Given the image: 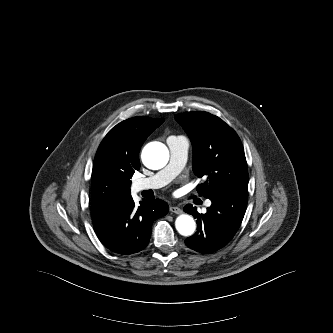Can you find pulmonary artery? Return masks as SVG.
I'll use <instances>...</instances> for the list:
<instances>
[{"label": "pulmonary artery", "instance_id": "e3ab8cb5", "mask_svg": "<svg viewBox=\"0 0 333 333\" xmlns=\"http://www.w3.org/2000/svg\"><path fill=\"white\" fill-rule=\"evenodd\" d=\"M166 142L170 151L168 165L153 176L136 180L134 182L136 190L164 187L181 172L187 159L188 141L184 137H169ZM210 205L211 203L207 202V206Z\"/></svg>", "mask_w": 333, "mask_h": 333}]
</instances>
